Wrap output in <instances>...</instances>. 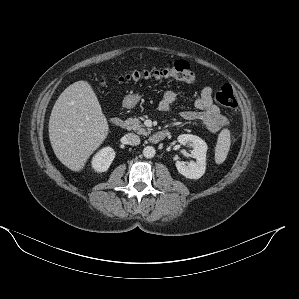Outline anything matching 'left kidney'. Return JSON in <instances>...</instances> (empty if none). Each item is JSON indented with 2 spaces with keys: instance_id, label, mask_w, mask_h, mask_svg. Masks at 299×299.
<instances>
[{
  "instance_id": "5707ae66",
  "label": "left kidney",
  "mask_w": 299,
  "mask_h": 299,
  "mask_svg": "<svg viewBox=\"0 0 299 299\" xmlns=\"http://www.w3.org/2000/svg\"><path fill=\"white\" fill-rule=\"evenodd\" d=\"M181 145H189L193 149L191 155L196 161L186 164L183 161H176L175 165L178 172L189 179H199L203 176L206 169L207 144L200 137L192 134H182L178 136Z\"/></svg>"
}]
</instances>
